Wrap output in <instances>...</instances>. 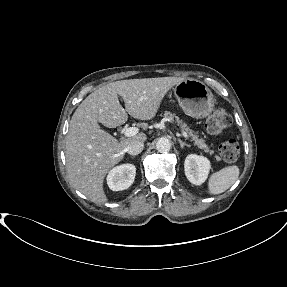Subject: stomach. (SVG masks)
<instances>
[{"label": "stomach", "instance_id": "0dacf381", "mask_svg": "<svg viewBox=\"0 0 287 287\" xmlns=\"http://www.w3.org/2000/svg\"><path fill=\"white\" fill-rule=\"evenodd\" d=\"M174 93L185 114L193 118H205L214 109V96L201 81L185 79L175 86Z\"/></svg>", "mask_w": 287, "mask_h": 287}]
</instances>
